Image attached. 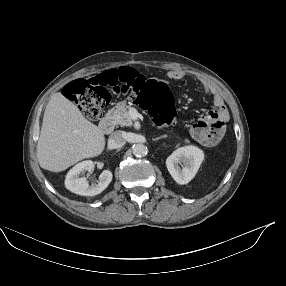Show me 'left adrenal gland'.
<instances>
[{"label":"left adrenal gland","mask_w":286,"mask_h":286,"mask_svg":"<svg viewBox=\"0 0 286 286\" xmlns=\"http://www.w3.org/2000/svg\"><path fill=\"white\" fill-rule=\"evenodd\" d=\"M161 138H165V136H160V137L154 138V139H152V140H153V141H157V140H159V139H161Z\"/></svg>","instance_id":"a2214340"}]
</instances>
